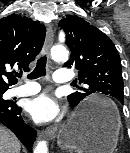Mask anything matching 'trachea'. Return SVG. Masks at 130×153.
<instances>
[{"mask_svg": "<svg viewBox=\"0 0 130 153\" xmlns=\"http://www.w3.org/2000/svg\"><path fill=\"white\" fill-rule=\"evenodd\" d=\"M46 61H47L46 56L39 58L35 69L30 74H28L27 76L28 79H36V78L45 76L46 75ZM17 77L21 78L22 74H18Z\"/></svg>", "mask_w": 130, "mask_h": 153, "instance_id": "trachea-1", "label": "trachea"}]
</instances>
